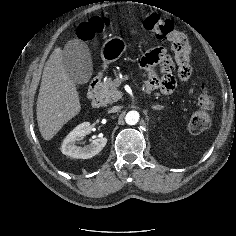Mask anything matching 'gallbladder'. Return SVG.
<instances>
[{
	"mask_svg": "<svg viewBox=\"0 0 236 236\" xmlns=\"http://www.w3.org/2000/svg\"><path fill=\"white\" fill-rule=\"evenodd\" d=\"M63 64L68 77L76 84H85L92 75V59L87 45L80 40L69 41L63 49Z\"/></svg>",
	"mask_w": 236,
	"mask_h": 236,
	"instance_id": "obj_1",
	"label": "gallbladder"
}]
</instances>
